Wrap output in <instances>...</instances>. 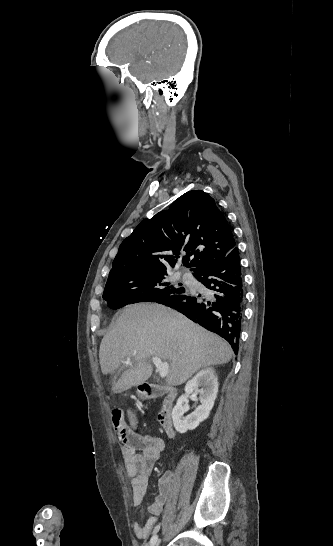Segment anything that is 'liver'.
Returning <instances> with one entry per match:
<instances>
[{
    "mask_svg": "<svg viewBox=\"0 0 333 546\" xmlns=\"http://www.w3.org/2000/svg\"><path fill=\"white\" fill-rule=\"evenodd\" d=\"M232 354L226 341L156 303L127 306L103 337L99 350L101 370L106 375L126 358H134V365L113 384L114 393L148 380L153 371L152 357L170 362L166 383L177 386L201 368L228 363Z\"/></svg>",
    "mask_w": 333,
    "mask_h": 546,
    "instance_id": "1",
    "label": "liver"
}]
</instances>
